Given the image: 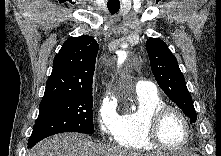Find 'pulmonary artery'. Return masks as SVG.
I'll list each match as a JSON object with an SVG mask.
<instances>
[{
	"mask_svg": "<svg viewBox=\"0 0 221 156\" xmlns=\"http://www.w3.org/2000/svg\"><path fill=\"white\" fill-rule=\"evenodd\" d=\"M136 91L137 92H153L156 91L155 85L146 80H140L136 84Z\"/></svg>",
	"mask_w": 221,
	"mask_h": 156,
	"instance_id": "pulmonary-artery-1",
	"label": "pulmonary artery"
}]
</instances>
